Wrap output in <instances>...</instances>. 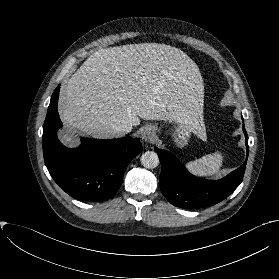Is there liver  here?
Masks as SVG:
<instances>
[{
    "instance_id": "obj_1",
    "label": "liver",
    "mask_w": 279,
    "mask_h": 279,
    "mask_svg": "<svg viewBox=\"0 0 279 279\" xmlns=\"http://www.w3.org/2000/svg\"><path fill=\"white\" fill-rule=\"evenodd\" d=\"M204 84L196 63L182 50L160 43L99 49L68 80L59 113L71 129L98 139L123 136L140 119L190 121L202 113ZM195 132L206 140L204 125ZM61 140L72 145L67 133Z\"/></svg>"
}]
</instances>
